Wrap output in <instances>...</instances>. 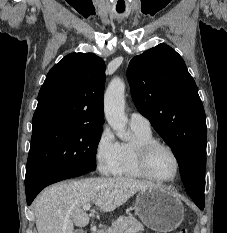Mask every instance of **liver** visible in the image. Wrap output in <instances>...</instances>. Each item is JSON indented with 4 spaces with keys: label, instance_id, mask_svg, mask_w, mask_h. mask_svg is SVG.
I'll use <instances>...</instances> for the list:
<instances>
[{
    "label": "liver",
    "instance_id": "liver-1",
    "mask_svg": "<svg viewBox=\"0 0 227 233\" xmlns=\"http://www.w3.org/2000/svg\"><path fill=\"white\" fill-rule=\"evenodd\" d=\"M157 187L131 178H89L67 181L45 189L33 203L38 233H75L74 225L84 227L88 214L81 208L94 202L102 212L123 205L141 190Z\"/></svg>",
    "mask_w": 227,
    "mask_h": 233
}]
</instances>
